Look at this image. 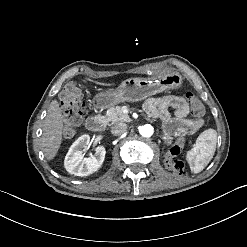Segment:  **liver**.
<instances>
[{
  "label": "liver",
  "mask_w": 247,
  "mask_h": 247,
  "mask_svg": "<svg viewBox=\"0 0 247 247\" xmlns=\"http://www.w3.org/2000/svg\"><path fill=\"white\" fill-rule=\"evenodd\" d=\"M89 81H92L88 78ZM97 84L109 86L110 84ZM64 118L57 100H52L48 108V113L43 124L42 147L47 160L55 157L60 148L63 134Z\"/></svg>",
  "instance_id": "liver-1"
}]
</instances>
